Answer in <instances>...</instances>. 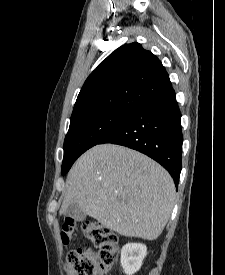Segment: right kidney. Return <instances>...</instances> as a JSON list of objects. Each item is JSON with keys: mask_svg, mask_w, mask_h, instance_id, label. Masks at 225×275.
<instances>
[{"mask_svg": "<svg viewBox=\"0 0 225 275\" xmlns=\"http://www.w3.org/2000/svg\"><path fill=\"white\" fill-rule=\"evenodd\" d=\"M147 247L141 243H128L121 250V266L126 275H133L142 266Z\"/></svg>", "mask_w": 225, "mask_h": 275, "instance_id": "obj_1", "label": "right kidney"}]
</instances>
